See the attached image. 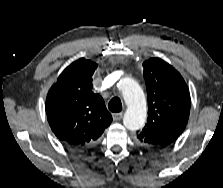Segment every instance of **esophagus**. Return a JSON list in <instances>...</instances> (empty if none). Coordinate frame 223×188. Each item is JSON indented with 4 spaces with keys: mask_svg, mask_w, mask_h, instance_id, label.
Masks as SVG:
<instances>
[{
    "mask_svg": "<svg viewBox=\"0 0 223 188\" xmlns=\"http://www.w3.org/2000/svg\"><path fill=\"white\" fill-rule=\"evenodd\" d=\"M122 117H123V112H119V113H114L113 114V120L114 121H119V120L122 119Z\"/></svg>",
    "mask_w": 223,
    "mask_h": 188,
    "instance_id": "34e87169",
    "label": "esophagus"
}]
</instances>
